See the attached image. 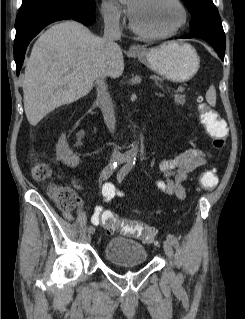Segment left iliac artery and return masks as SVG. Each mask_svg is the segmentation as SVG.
<instances>
[{
  "instance_id": "1",
  "label": "left iliac artery",
  "mask_w": 245,
  "mask_h": 319,
  "mask_svg": "<svg viewBox=\"0 0 245 319\" xmlns=\"http://www.w3.org/2000/svg\"><path fill=\"white\" fill-rule=\"evenodd\" d=\"M134 164H135V161L133 159L128 160V162L118 172V175H117L118 181L121 182L124 179V177L131 171ZM167 241L174 247H178V240L174 235L168 234ZM179 278H181V276H179Z\"/></svg>"
}]
</instances>
